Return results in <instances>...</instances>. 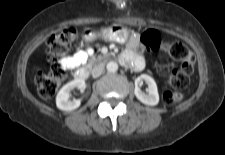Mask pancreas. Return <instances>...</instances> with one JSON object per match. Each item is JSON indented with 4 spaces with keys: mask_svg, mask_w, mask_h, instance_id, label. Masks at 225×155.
Segmentation results:
<instances>
[{
    "mask_svg": "<svg viewBox=\"0 0 225 155\" xmlns=\"http://www.w3.org/2000/svg\"><path fill=\"white\" fill-rule=\"evenodd\" d=\"M101 59H102V56L99 55L98 60H101ZM95 60H96L95 58H92L88 63V67H91L94 64Z\"/></svg>",
    "mask_w": 225,
    "mask_h": 155,
    "instance_id": "cf45deb5",
    "label": "pancreas"
}]
</instances>
